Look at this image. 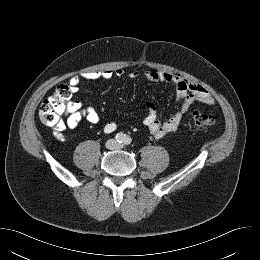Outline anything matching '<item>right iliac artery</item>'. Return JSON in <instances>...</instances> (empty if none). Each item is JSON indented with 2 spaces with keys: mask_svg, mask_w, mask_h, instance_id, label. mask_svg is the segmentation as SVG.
<instances>
[{
  "mask_svg": "<svg viewBox=\"0 0 260 260\" xmlns=\"http://www.w3.org/2000/svg\"><path fill=\"white\" fill-rule=\"evenodd\" d=\"M115 139H116L117 142L122 143V142H124L125 135L122 134V133H118V134L115 136Z\"/></svg>",
  "mask_w": 260,
  "mask_h": 260,
  "instance_id": "obj_1",
  "label": "right iliac artery"
}]
</instances>
